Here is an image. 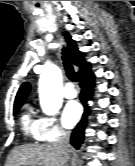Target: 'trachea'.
<instances>
[{
	"label": "trachea",
	"mask_w": 135,
	"mask_h": 166,
	"mask_svg": "<svg viewBox=\"0 0 135 166\" xmlns=\"http://www.w3.org/2000/svg\"><path fill=\"white\" fill-rule=\"evenodd\" d=\"M62 60H63V65L65 68L67 77L72 82H77L76 73H75L74 68L72 66V62L70 60L69 54L65 48L62 49Z\"/></svg>",
	"instance_id": "1"
}]
</instances>
